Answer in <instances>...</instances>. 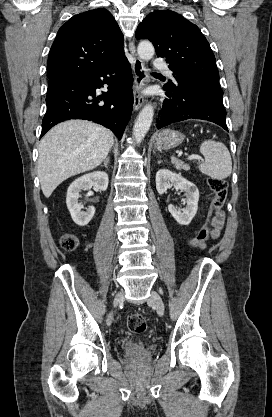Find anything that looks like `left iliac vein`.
<instances>
[{"instance_id":"1","label":"left iliac vein","mask_w":272,"mask_h":417,"mask_svg":"<svg viewBox=\"0 0 272 417\" xmlns=\"http://www.w3.org/2000/svg\"><path fill=\"white\" fill-rule=\"evenodd\" d=\"M148 303L156 308L159 316H163L165 310L164 302L156 291H151V295L148 298Z\"/></svg>"}]
</instances>
